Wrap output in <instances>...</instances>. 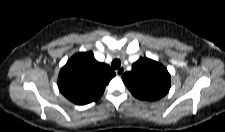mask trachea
<instances>
[{
  "instance_id": "obj_1",
  "label": "trachea",
  "mask_w": 225,
  "mask_h": 132,
  "mask_svg": "<svg viewBox=\"0 0 225 132\" xmlns=\"http://www.w3.org/2000/svg\"><path fill=\"white\" fill-rule=\"evenodd\" d=\"M111 66L113 69H118L121 66V61L119 59H114Z\"/></svg>"
}]
</instances>
